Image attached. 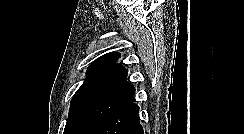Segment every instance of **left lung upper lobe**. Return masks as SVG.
Returning <instances> with one entry per match:
<instances>
[{
	"mask_svg": "<svg viewBox=\"0 0 244 134\" xmlns=\"http://www.w3.org/2000/svg\"><path fill=\"white\" fill-rule=\"evenodd\" d=\"M117 52L107 53L90 64L88 77L74 94L63 134H94L117 110L133 101L135 88L127 69L115 63Z\"/></svg>",
	"mask_w": 244,
	"mask_h": 134,
	"instance_id": "left-lung-upper-lobe-1",
	"label": "left lung upper lobe"
}]
</instances>
